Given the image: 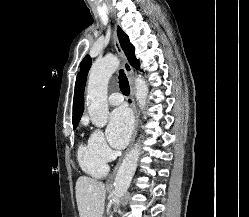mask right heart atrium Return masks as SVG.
Returning a JSON list of instances; mask_svg holds the SVG:
<instances>
[{"mask_svg": "<svg viewBox=\"0 0 249 217\" xmlns=\"http://www.w3.org/2000/svg\"><path fill=\"white\" fill-rule=\"evenodd\" d=\"M89 144L94 152L105 162L111 160L113 153L109 148L104 134L101 130L95 129L90 135Z\"/></svg>", "mask_w": 249, "mask_h": 217, "instance_id": "1", "label": "right heart atrium"}]
</instances>
